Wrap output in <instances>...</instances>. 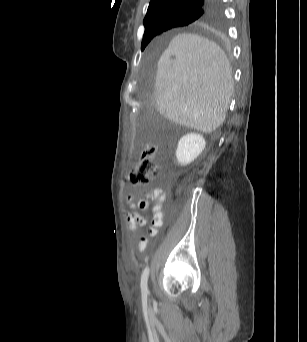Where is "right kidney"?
<instances>
[{
	"instance_id": "obj_1",
	"label": "right kidney",
	"mask_w": 307,
	"mask_h": 342,
	"mask_svg": "<svg viewBox=\"0 0 307 342\" xmlns=\"http://www.w3.org/2000/svg\"><path fill=\"white\" fill-rule=\"evenodd\" d=\"M206 146V142L201 134H186L180 138L176 150V158L180 166H188L200 156Z\"/></svg>"
}]
</instances>
